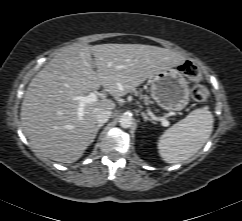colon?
I'll return each instance as SVG.
<instances>
[{
    "instance_id": "obj_1",
    "label": "colon",
    "mask_w": 242,
    "mask_h": 221,
    "mask_svg": "<svg viewBox=\"0 0 242 221\" xmlns=\"http://www.w3.org/2000/svg\"><path fill=\"white\" fill-rule=\"evenodd\" d=\"M181 71L195 84L192 89V97L198 103H205L210 97V93L207 87L199 84L201 74L198 67L192 62H186L181 66Z\"/></svg>"
}]
</instances>
